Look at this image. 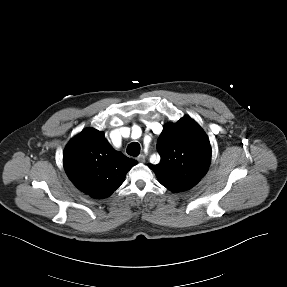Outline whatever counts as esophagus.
Instances as JSON below:
<instances>
[{
	"label": "esophagus",
	"mask_w": 287,
	"mask_h": 287,
	"mask_svg": "<svg viewBox=\"0 0 287 287\" xmlns=\"http://www.w3.org/2000/svg\"><path fill=\"white\" fill-rule=\"evenodd\" d=\"M145 155L141 154L137 157V161L141 162V163H144L145 162Z\"/></svg>",
	"instance_id": "obj_1"
}]
</instances>
